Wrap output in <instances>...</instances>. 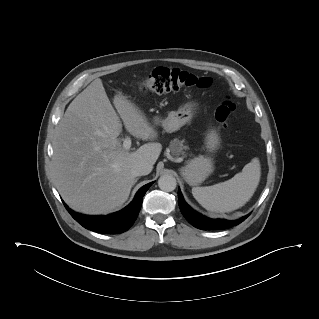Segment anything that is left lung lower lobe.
<instances>
[{
    "label": "left lung lower lobe",
    "mask_w": 319,
    "mask_h": 319,
    "mask_svg": "<svg viewBox=\"0 0 319 319\" xmlns=\"http://www.w3.org/2000/svg\"><path fill=\"white\" fill-rule=\"evenodd\" d=\"M178 204L182 214L187 219V221L194 227L201 230H219L230 228L232 226L240 224L249 216L248 214L237 220L210 219L192 210L184 201L180 190H178Z\"/></svg>",
    "instance_id": "obj_1"
}]
</instances>
